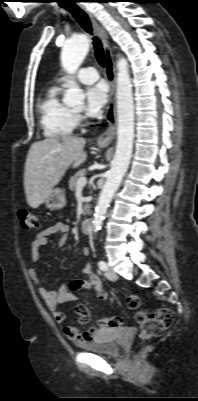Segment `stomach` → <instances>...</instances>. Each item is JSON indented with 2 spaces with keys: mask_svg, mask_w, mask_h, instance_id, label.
Masks as SVG:
<instances>
[{
  "mask_svg": "<svg viewBox=\"0 0 198 401\" xmlns=\"http://www.w3.org/2000/svg\"><path fill=\"white\" fill-rule=\"evenodd\" d=\"M103 147V145H101ZM47 208L50 210H60L66 204L65 192L63 189L55 188L44 201Z\"/></svg>",
  "mask_w": 198,
  "mask_h": 401,
  "instance_id": "0dacf381",
  "label": "stomach"
}]
</instances>
